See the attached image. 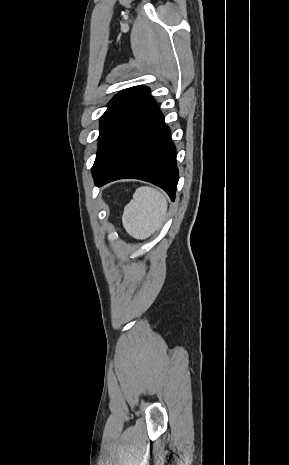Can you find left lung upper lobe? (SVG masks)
Masks as SVG:
<instances>
[{
	"label": "left lung upper lobe",
	"mask_w": 289,
	"mask_h": 465,
	"mask_svg": "<svg viewBox=\"0 0 289 465\" xmlns=\"http://www.w3.org/2000/svg\"><path fill=\"white\" fill-rule=\"evenodd\" d=\"M152 100L149 88L136 86L122 90L110 101L100 120L99 149L92 171L119 144Z\"/></svg>",
	"instance_id": "5c2ea615"
}]
</instances>
